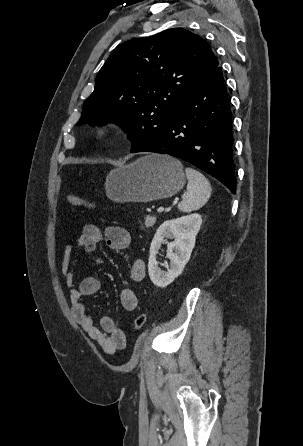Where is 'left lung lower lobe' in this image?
<instances>
[{
  "label": "left lung lower lobe",
  "mask_w": 303,
  "mask_h": 446,
  "mask_svg": "<svg viewBox=\"0 0 303 446\" xmlns=\"http://www.w3.org/2000/svg\"><path fill=\"white\" fill-rule=\"evenodd\" d=\"M231 110L218 66L177 107L169 125L135 152L183 159L236 192Z\"/></svg>",
  "instance_id": "obj_1"
}]
</instances>
